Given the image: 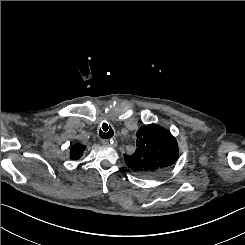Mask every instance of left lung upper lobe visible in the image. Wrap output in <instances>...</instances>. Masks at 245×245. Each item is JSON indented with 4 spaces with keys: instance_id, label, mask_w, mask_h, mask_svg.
<instances>
[{
    "instance_id": "left-lung-upper-lobe-1",
    "label": "left lung upper lobe",
    "mask_w": 245,
    "mask_h": 245,
    "mask_svg": "<svg viewBox=\"0 0 245 245\" xmlns=\"http://www.w3.org/2000/svg\"><path fill=\"white\" fill-rule=\"evenodd\" d=\"M136 146L134 154L124 155L125 162L138 176L145 178L162 175L179 156L175 137L156 124L140 127Z\"/></svg>"
}]
</instances>
